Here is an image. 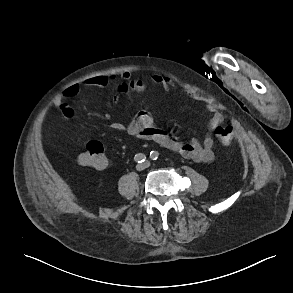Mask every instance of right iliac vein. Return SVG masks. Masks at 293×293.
Segmentation results:
<instances>
[{"instance_id":"63e3f726","label":"right iliac vein","mask_w":293,"mask_h":293,"mask_svg":"<svg viewBox=\"0 0 293 293\" xmlns=\"http://www.w3.org/2000/svg\"><path fill=\"white\" fill-rule=\"evenodd\" d=\"M145 168V165H143V164H139L138 166H137V169L138 170H143Z\"/></svg>"}]
</instances>
